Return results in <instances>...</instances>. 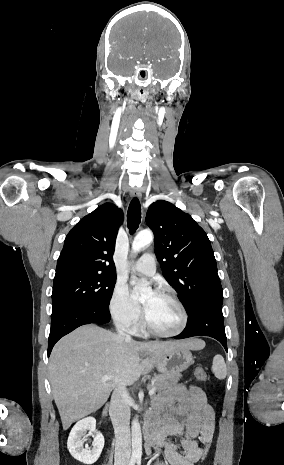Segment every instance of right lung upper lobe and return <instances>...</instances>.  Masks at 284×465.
Here are the masks:
<instances>
[{"label":"right lung upper lobe","instance_id":"1","mask_svg":"<svg viewBox=\"0 0 284 465\" xmlns=\"http://www.w3.org/2000/svg\"><path fill=\"white\" fill-rule=\"evenodd\" d=\"M123 213L105 203L82 218L67 234L55 278L73 274L116 276L113 253Z\"/></svg>","mask_w":284,"mask_h":465}]
</instances>
